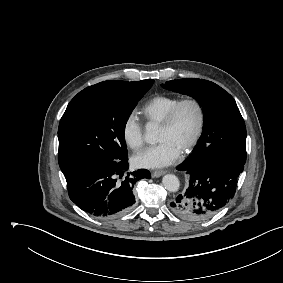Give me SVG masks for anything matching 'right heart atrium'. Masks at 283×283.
<instances>
[{
  "mask_svg": "<svg viewBox=\"0 0 283 283\" xmlns=\"http://www.w3.org/2000/svg\"><path fill=\"white\" fill-rule=\"evenodd\" d=\"M121 132L124 142L131 149H138L143 145V125L134 113L129 114L125 118Z\"/></svg>",
  "mask_w": 283,
  "mask_h": 283,
  "instance_id": "1",
  "label": "right heart atrium"
}]
</instances>
